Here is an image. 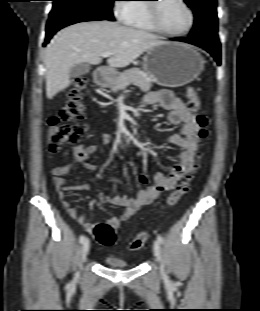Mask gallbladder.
I'll return each mask as SVG.
<instances>
[{
    "label": "gallbladder",
    "instance_id": "gallbladder-1",
    "mask_svg": "<svg viewBox=\"0 0 260 311\" xmlns=\"http://www.w3.org/2000/svg\"><path fill=\"white\" fill-rule=\"evenodd\" d=\"M90 71V66L87 63H80L70 68L71 77H79L87 74Z\"/></svg>",
    "mask_w": 260,
    "mask_h": 311
}]
</instances>
